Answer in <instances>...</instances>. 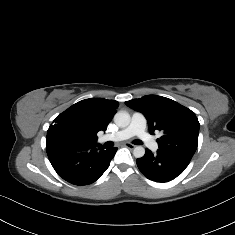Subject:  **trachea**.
Segmentation results:
<instances>
[{
  "label": "trachea",
  "instance_id": "trachea-1",
  "mask_svg": "<svg viewBox=\"0 0 235 235\" xmlns=\"http://www.w3.org/2000/svg\"><path fill=\"white\" fill-rule=\"evenodd\" d=\"M133 143L136 144V145H141V144H142V141L139 140V139H137V140H135Z\"/></svg>",
  "mask_w": 235,
  "mask_h": 235
}]
</instances>
